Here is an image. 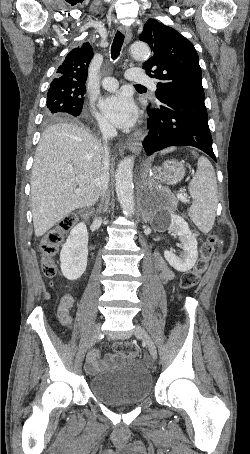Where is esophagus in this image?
<instances>
[{
	"mask_svg": "<svg viewBox=\"0 0 250 454\" xmlns=\"http://www.w3.org/2000/svg\"><path fill=\"white\" fill-rule=\"evenodd\" d=\"M120 31L125 35V40L127 43L130 42L132 38L131 29L129 27L120 26ZM128 148L136 155L140 154L142 149V144L140 142H130L128 143Z\"/></svg>",
	"mask_w": 250,
	"mask_h": 454,
	"instance_id": "34e87169",
	"label": "esophagus"
}]
</instances>
